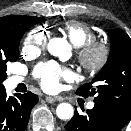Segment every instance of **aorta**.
Segmentation results:
<instances>
[{
	"mask_svg": "<svg viewBox=\"0 0 131 131\" xmlns=\"http://www.w3.org/2000/svg\"><path fill=\"white\" fill-rule=\"evenodd\" d=\"M47 48L50 54L63 57L68 53L69 45L64 39L53 38L48 42ZM56 115L62 120L71 119L74 115L73 107L69 103H61L56 108Z\"/></svg>",
	"mask_w": 131,
	"mask_h": 131,
	"instance_id": "obj_1",
	"label": "aorta"
}]
</instances>
